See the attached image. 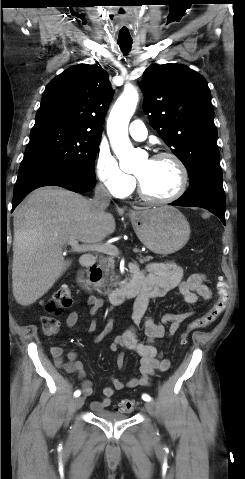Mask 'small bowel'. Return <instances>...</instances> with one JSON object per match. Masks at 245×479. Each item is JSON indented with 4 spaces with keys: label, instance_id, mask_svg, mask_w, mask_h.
I'll list each match as a JSON object with an SVG mask.
<instances>
[{
    "label": "small bowel",
    "instance_id": "obj_1",
    "mask_svg": "<svg viewBox=\"0 0 245 479\" xmlns=\"http://www.w3.org/2000/svg\"><path fill=\"white\" fill-rule=\"evenodd\" d=\"M130 271H137L143 281V289L136 298L133 305V325L122 334L116 336L110 344V350L118 352L116 364L122 370L125 364V351H131L140 357L138 377H133L123 382L115 377L111 378V384L103 387L101 400L92 401L90 408L93 412L99 413L111 405L112 397L116 390L124 388L133 389L139 386L148 387L156 373L165 372L170 368V361L163 356L156 341L163 338L166 333L174 335L181 324L193 315L192 311L178 314H166L161 322L151 317H146L150 300L166 295L170 290L178 288L183 301L189 305L196 304L199 300L210 299L211 289L205 284V275L196 273L187 277L184 276L182 268L173 262H152L145 268L140 269L137 264L130 265ZM90 313L95 315L103 305L100 297L91 295L88 297ZM80 312L73 311L66 318V325L74 328L80 319ZM143 322L146 342H141L136 336L135 327ZM113 324L108 319L103 330L95 335V341H101L112 331ZM96 330V322H92L89 331ZM50 354L56 367L66 373H75L82 380L81 391L84 396L92 393V384L87 379V372L83 363L78 359L75 351H69L66 358L63 349L59 346H52Z\"/></svg>",
    "mask_w": 245,
    "mask_h": 479
}]
</instances>
